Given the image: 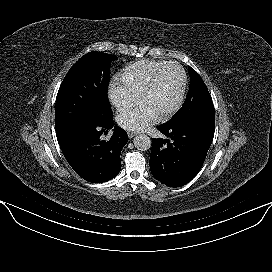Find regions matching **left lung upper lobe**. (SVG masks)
<instances>
[{"label":"left lung upper lobe","mask_w":272,"mask_h":272,"mask_svg":"<svg viewBox=\"0 0 272 272\" xmlns=\"http://www.w3.org/2000/svg\"><path fill=\"white\" fill-rule=\"evenodd\" d=\"M190 87L182 108L167 123L180 126L188 122L214 121V106L209 91L199 74L188 67Z\"/></svg>","instance_id":"left-lung-upper-lobe-1"}]
</instances>
